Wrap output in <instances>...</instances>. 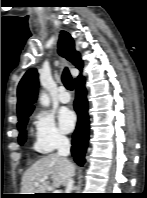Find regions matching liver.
I'll use <instances>...</instances> for the list:
<instances>
[{
    "mask_svg": "<svg viewBox=\"0 0 147 198\" xmlns=\"http://www.w3.org/2000/svg\"><path fill=\"white\" fill-rule=\"evenodd\" d=\"M75 165L56 153H51L36 161L25 171L21 182V194L46 193L49 187L65 185L73 176ZM47 177L48 181L39 182Z\"/></svg>",
    "mask_w": 147,
    "mask_h": 198,
    "instance_id": "liver-1",
    "label": "liver"
}]
</instances>
